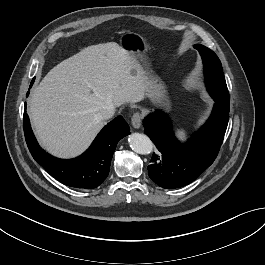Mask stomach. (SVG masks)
<instances>
[{
  "instance_id": "obj_1",
  "label": "stomach",
  "mask_w": 265,
  "mask_h": 265,
  "mask_svg": "<svg viewBox=\"0 0 265 265\" xmlns=\"http://www.w3.org/2000/svg\"><path fill=\"white\" fill-rule=\"evenodd\" d=\"M121 46L130 52L135 58L144 56L147 51L145 39L137 33H127L120 39ZM149 88L147 95L154 102L165 109H169L170 103L166 96L165 88L156 78H148Z\"/></svg>"
}]
</instances>
